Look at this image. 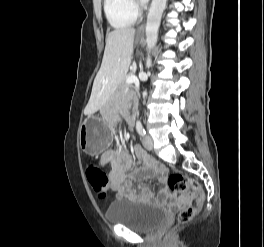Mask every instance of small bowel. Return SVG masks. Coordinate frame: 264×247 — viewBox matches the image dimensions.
I'll list each match as a JSON object with an SVG mask.
<instances>
[{
  "instance_id": "small-bowel-1",
  "label": "small bowel",
  "mask_w": 264,
  "mask_h": 247,
  "mask_svg": "<svg viewBox=\"0 0 264 247\" xmlns=\"http://www.w3.org/2000/svg\"><path fill=\"white\" fill-rule=\"evenodd\" d=\"M134 153L142 160V165L136 168L131 176L128 172L132 168V159L123 149L105 151L101 156L103 165H110V189L116 192L121 199H148L164 201L174 198L175 195L167 186V171L165 166L149 155L140 145L134 146ZM148 178H157L164 185L158 196L145 185H139L138 190L133 188V181Z\"/></svg>"
}]
</instances>
